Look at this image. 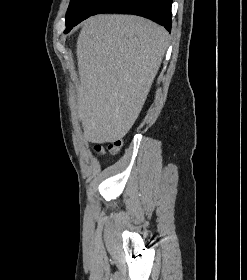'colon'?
<instances>
[{
	"label": "colon",
	"mask_w": 247,
	"mask_h": 280,
	"mask_svg": "<svg viewBox=\"0 0 247 280\" xmlns=\"http://www.w3.org/2000/svg\"><path fill=\"white\" fill-rule=\"evenodd\" d=\"M120 147H121V141L117 140L111 145H109L107 150L111 153H115L120 149ZM95 151L98 153H105L106 150L100 146H96Z\"/></svg>",
	"instance_id": "5ec220e1"
}]
</instances>
